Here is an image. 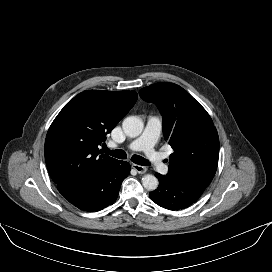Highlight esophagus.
<instances>
[{
    "label": "esophagus",
    "mask_w": 272,
    "mask_h": 272,
    "mask_svg": "<svg viewBox=\"0 0 272 272\" xmlns=\"http://www.w3.org/2000/svg\"><path fill=\"white\" fill-rule=\"evenodd\" d=\"M132 168L135 169L139 174L145 173L147 168L138 164H133Z\"/></svg>",
    "instance_id": "1"
}]
</instances>
